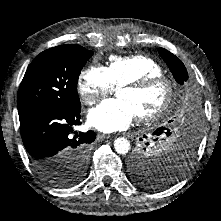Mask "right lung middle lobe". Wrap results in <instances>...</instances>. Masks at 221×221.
Listing matches in <instances>:
<instances>
[{
  "label": "right lung middle lobe",
  "mask_w": 221,
  "mask_h": 221,
  "mask_svg": "<svg viewBox=\"0 0 221 221\" xmlns=\"http://www.w3.org/2000/svg\"><path fill=\"white\" fill-rule=\"evenodd\" d=\"M92 54V51L75 44L56 46L40 53L28 66L20 85L18 112L40 105L81 109L77 81ZM90 144L67 152L61 163L38 174L56 187L77 184L86 171Z\"/></svg>",
  "instance_id": "dd1d6c3e"
}]
</instances>
